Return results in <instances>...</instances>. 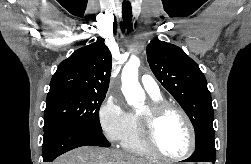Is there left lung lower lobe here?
Masks as SVG:
<instances>
[{
  "mask_svg": "<svg viewBox=\"0 0 251 164\" xmlns=\"http://www.w3.org/2000/svg\"><path fill=\"white\" fill-rule=\"evenodd\" d=\"M186 162H215V153L207 150L204 146L195 149L193 156Z\"/></svg>",
  "mask_w": 251,
  "mask_h": 164,
  "instance_id": "0a47b994",
  "label": "left lung lower lobe"
}]
</instances>
